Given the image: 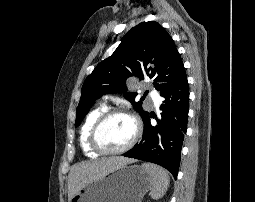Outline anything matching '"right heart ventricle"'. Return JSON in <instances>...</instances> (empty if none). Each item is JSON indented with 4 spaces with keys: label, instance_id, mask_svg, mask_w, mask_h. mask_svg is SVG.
I'll use <instances>...</instances> for the list:
<instances>
[{
    "label": "right heart ventricle",
    "instance_id": "obj_1",
    "mask_svg": "<svg viewBox=\"0 0 255 202\" xmlns=\"http://www.w3.org/2000/svg\"><path fill=\"white\" fill-rule=\"evenodd\" d=\"M107 111L106 104H100L94 108L86 117L80 130V144L84 154L91 158H96L100 154L94 151L89 144V134L95 121Z\"/></svg>",
    "mask_w": 255,
    "mask_h": 202
}]
</instances>
